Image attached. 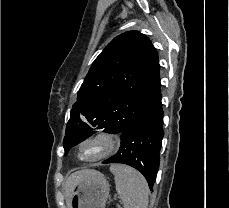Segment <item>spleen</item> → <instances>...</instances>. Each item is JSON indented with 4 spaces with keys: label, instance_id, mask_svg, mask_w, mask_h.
Listing matches in <instances>:
<instances>
[{
    "label": "spleen",
    "instance_id": "obj_1",
    "mask_svg": "<svg viewBox=\"0 0 229 208\" xmlns=\"http://www.w3.org/2000/svg\"><path fill=\"white\" fill-rule=\"evenodd\" d=\"M110 172L124 208H147L149 188L140 172L124 164H112Z\"/></svg>",
    "mask_w": 229,
    "mask_h": 208
}]
</instances>
